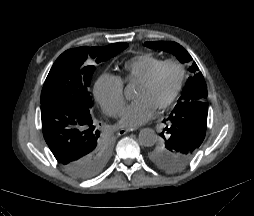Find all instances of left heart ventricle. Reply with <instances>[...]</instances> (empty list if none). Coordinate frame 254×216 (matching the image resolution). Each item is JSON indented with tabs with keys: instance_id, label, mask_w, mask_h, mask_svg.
I'll return each instance as SVG.
<instances>
[{
	"instance_id": "1",
	"label": "left heart ventricle",
	"mask_w": 254,
	"mask_h": 216,
	"mask_svg": "<svg viewBox=\"0 0 254 216\" xmlns=\"http://www.w3.org/2000/svg\"><path fill=\"white\" fill-rule=\"evenodd\" d=\"M178 78V71L174 66L165 67L158 75L153 85L144 87L138 85L135 99H145L155 108L165 102L172 94Z\"/></svg>"
}]
</instances>
